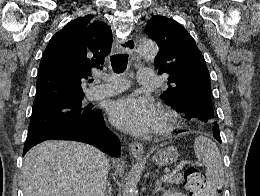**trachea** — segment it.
Listing matches in <instances>:
<instances>
[{
	"mask_svg": "<svg viewBox=\"0 0 260 196\" xmlns=\"http://www.w3.org/2000/svg\"><path fill=\"white\" fill-rule=\"evenodd\" d=\"M110 60L113 71L115 73H123L126 70L128 64V54L116 53V55L111 56ZM89 81H93V79L91 78Z\"/></svg>",
	"mask_w": 260,
	"mask_h": 196,
	"instance_id": "3493384b",
	"label": "trachea"
}]
</instances>
